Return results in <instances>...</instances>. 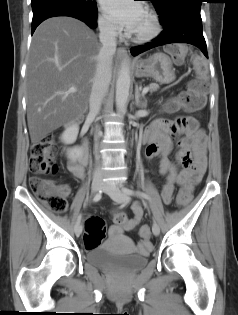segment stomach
Masks as SVG:
<instances>
[{
    "label": "stomach",
    "instance_id": "stomach-1",
    "mask_svg": "<svg viewBox=\"0 0 238 315\" xmlns=\"http://www.w3.org/2000/svg\"><path fill=\"white\" fill-rule=\"evenodd\" d=\"M137 77H150L161 84L175 80V71L170 57L164 53H155L147 59H140Z\"/></svg>",
    "mask_w": 238,
    "mask_h": 315
}]
</instances>
